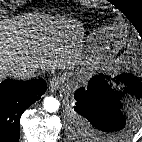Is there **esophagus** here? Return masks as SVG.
<instances>
[{
  "instance_id": "34e87169",
  "label": "esophagus",
  "mask_w": 142,
  "mask_h": 142,
  "mask_svg": "<svg viewBox=\"0 0 142 142\" xmlns=\"http://www.w3.org/2000/svg\"><path fill=\"white\" fill-rule=\"evenodd\" d=\"M60 87V81L58 79H53L50 82V89L52 92L56 91Z\"/></svg>"
}]
</instances>
